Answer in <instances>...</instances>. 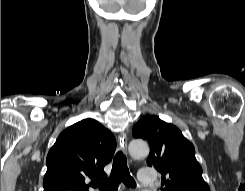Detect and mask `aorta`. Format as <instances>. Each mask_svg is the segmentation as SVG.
Masks as SVG:
<instances>
[{
  "label": "aorta",
  "instance_id": "obj_1",
  "mask_svg": "<svg viewBox=\"0 0 245 191\" xmlns=\"http://www.w3.org/2000/svg\"><path fill=\"white\" fill-rule=\"evenodd\" d=\"M129 153L134 158L146 157L149 153V146L143 140H132L128 146Z\"/></svg>",
  "mask_w": 245,
  "mask_h": 191
}]
</instances>
